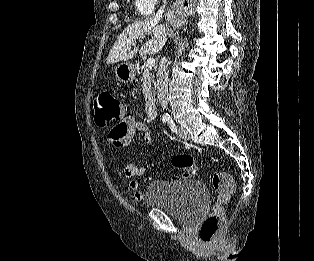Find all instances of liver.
<instances>
[{"instance_id":"liver-1","label":"liver","mask_w":314,"mask_h":261,"mask_svg":"<svg viewBox=\"0 0 314 261\" xmlns=\"http://www.w3.org/2000/svg\"><path fill=\"white\" fill-rule=\"evenodd\" d=\"M152 37L140 49L139 54H157L167 41V33L164 25H159V20L148 18L128 25L114 43L107 57V64H114L120 61H127L133 58L138 52L137 40L144 38L147 34ZM134 48L131 50V46ZM130 47V49H127Z\"/></svg>"}]
</instances>
